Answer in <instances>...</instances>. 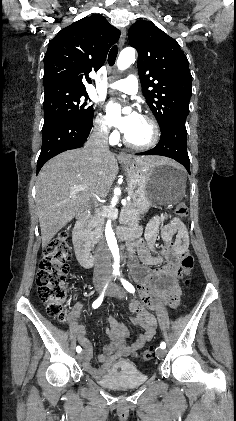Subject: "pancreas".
<instances>
[{
	"mask_svg": "<svg viewBox=\"0 0 236 421\" xmlns=\"http://www.w3.org/2000/svg\"><path fill=\"white\" fill-rule=\"evenodd\" d=\"M103 215H105V211H100V208H92V211H88L85 219L81 223L86 239H89L93 245L97 241L96 237H100L103 231ZM140 215H143V213L136 211L132 200H127L126 206H122L121 208L119 223L120 225H128V227H137L139 221H141Z\"/></svg>",
	"mask_w": 236,
	"mask_h": 421,
	"instance_id": "1",
	"label": "pancreas"
}]
</instances>
